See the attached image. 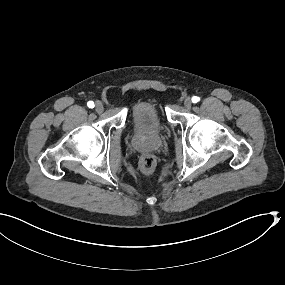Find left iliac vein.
<instances>
[{
  "instance_id": "4c4485c4",
  "label": "left iliac vein",
  "mask_w": 285,
  "mask_h": 285,
  "mask_svg": "<svg viewBox=\"0 0 285 285\" xmlns=\"http://www.w3.org/2000/svg\"><path fill=\"white\" fill-rule=\"evenodd\" d=\"M184 106L186 109H190L192 107V101L189 97L184 100Z\"/></svg>"
}]
</instances>
